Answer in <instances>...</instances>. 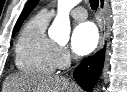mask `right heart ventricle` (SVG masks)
<instances>
[{
    "instance_id": "e07e8e85",
    "label": "right heart ventricle",
    "mask_w": 127,
    "mask_h": 92,
    "mask_svg": "<svg viewBox=\"0 0 127 92\" xmlns=\"http://www.w3.org/2000/svg\"><path fill=\"white\" fill-rule=\"evenodd\" d=\"M50 14L41 11L31 18L17 40L15 64L25 74H52L58 68L56 61L57 45L46 34Z\"/></svg>"
}]
</instances>
